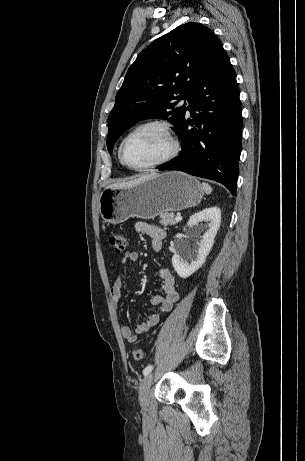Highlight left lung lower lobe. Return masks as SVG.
<instances>
[{
  "label": "left lung lower lobe",
  "mask_w": 305,
  "mask_h": 461,
  "mask_svg": "<svg viewBox=\"0 0 305 461\" xmlns=\"http://www.w3.org/2000/svg\"><path fill=\"white\" fill-rule=\"evenodd\" d=\"M188 102L191 117L185 116L176 131L182 150L157 168L218 181L236 195L242 114L236 75L224 49Z\"/></svg>",
  "instance_id": "1"
}]
</instances>
